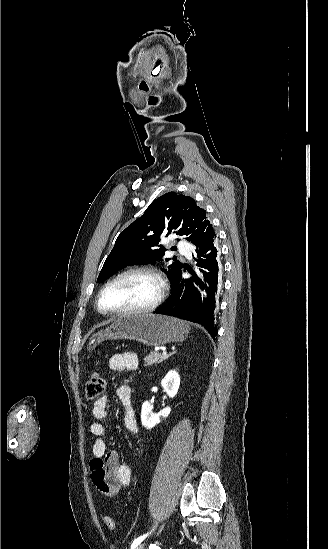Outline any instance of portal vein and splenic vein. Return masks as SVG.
I'll return each mask as SVG.
<instances>
[{"label":"portal vein and splenic vein","mask_w":328,"mask_h":549,"mask_svg":"<svg viewBox=\"0 0 328 549\" xmlns=\"http://www.w3.org/2000/svg\"><path fill=\"white\" fill-rule=\"evenodd\" d=\"M162 355H164V357H165V355H167V350H163Z\"/></svg>","instance_id":"18ae733b"}]
</instances>
